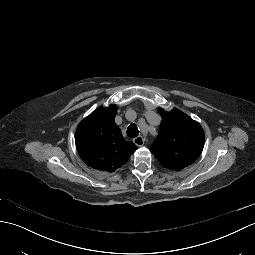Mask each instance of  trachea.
<instances>
[{
    "label": "trachea",
    "mask_w": 255,
    "mask_h": 255,
    "mask_svg": "<svg viewBox=\"0 0 255 255\" xmlns=\"http://www.w3.org/2000/svg\"><path fill=\"white\" fill-rule=\"evenodd\" d=\"M127 136L130 138H136L139 135V130L137 126L132 123L128 128H127Z\"/></svg>",
    "instance_id": "obj_1"
}]
</instances>
